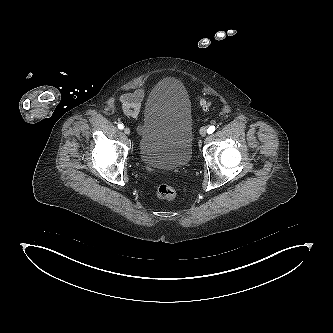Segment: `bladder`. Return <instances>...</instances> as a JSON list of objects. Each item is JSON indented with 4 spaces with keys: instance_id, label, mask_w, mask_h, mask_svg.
<instances>
[{
    "instance_id": "bladder-1",
    "label": "bladder",
    "mask_w": 333,
    "mask_h": 333,
    "mask_svg": "<svg viewBox=\"0 0 333 333\" xmlns=\"http://www.w3.org/2000/svg\"><path fill=\"white\" fill-rule=\"evenodd\" d=\"M139 155L158 169L185 167L192 157V111L184 84L174 77L160 80L148 95L139 128Z\"/></svg>"
}]
</instances>
